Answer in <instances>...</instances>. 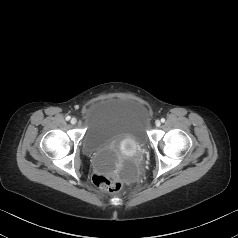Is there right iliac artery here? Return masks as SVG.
Returning a JSON list of instances; mask_svg holds the SVG:
<instances>
[{"instance_id": "1", "label": "right iliac artery", "mask_w": 238, "mask_h": 238, "mask_svg": "<svg viewBox=\"0 0 238 238\" xmlns=\"http://www.w3.org/2000/svg\"><path fill=\"white\" fill-rule=\"evenodd\" d=\"M70 118H71L70 116H67V117H66V120H70Z\"/></svg>"}]
</instances>
